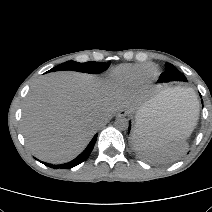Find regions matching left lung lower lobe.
Segmentation results:
<instances>
[{
    "mask_svg": "<svg viewBox=\"0 0 212 212\" xmlns=\"http://www.w3.org/2000/svg\"><path fill=\"white\" fill-rule=\"evenodd\" d=\"M130 127H131V123H129V131H130ZM133 142H134V146H135L136 150L139 152V154H140L142 157H144V158H146V159H149V158H148V154H147L145 151H143V150H141V149L139 148L138 143L135 142V141H133Z\"/></svg>",
    "mask_w": 212,
    "mask_h": 212,
    "instance_id": "1",
    "label": "left lung lower lobe"
}]
</instances>
